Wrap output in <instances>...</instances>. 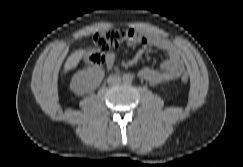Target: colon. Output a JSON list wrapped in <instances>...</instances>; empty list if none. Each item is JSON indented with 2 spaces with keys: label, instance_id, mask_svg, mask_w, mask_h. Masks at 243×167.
Returning <instances> with one entry per match:
<instances>
[{
  "label": "colon",
  "instance_id": "colon-1",
  "mask_svg": "<svg viewBox=\"0 0 243 167\" xmlns=\"http://www.w3.org/2000/svg\"><path fill=\"white\" fill-rule=\"evenodd\" d=\"M130 30L110 29L97 33L93 39V46L83 50L82 59L90 66H101L105 61V53L118 48L130 39ZM182 83L189 82L187 74L182 75Z\"/></svg>",
  "mask_w": 243,
  "mask_h": 167
}]
</instances>
